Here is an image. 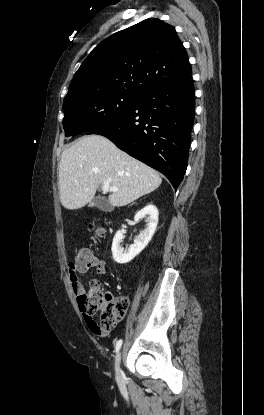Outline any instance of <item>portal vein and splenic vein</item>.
Returning <instances> with one entry per match:
<instances>
[{"mask_svg":"<svg viewBox=\"0 0 264 415\" xmlns=\"http://www.w3.org/2000/svg\"><path fill=\"white\" fill-rule=\"evenodd\" d=\"M102 190L105 192H117L118 188L110 186L109 182L106 181L102 184Z\"/></svg>","mask_w":264,"mask_h":415,"instance_id":"obj_1","label":"portal vein and splenic vein"}]
</instances>
